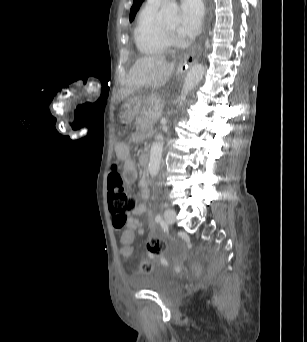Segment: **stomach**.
Masks as SVG:
<instances>
[{"instance_id": "obj_1", "label": "stomach", "mask_w": 307, "mask_h": 342, "mask_svg": "<svg viewBox=\"0 0 307 342\" xmlns=\"http://www.w3.org/2000/svg\"><path fill=\"white\" fill-rule=\"evenodd\" d=\"M184 71V65H178L176 69V74L179 75ZM142 108V99L139 97H132L128 99L122 106L120 112V119L122 123H127L132 121L135 117L138 116Z\"/></svg>"}]
</instances>
